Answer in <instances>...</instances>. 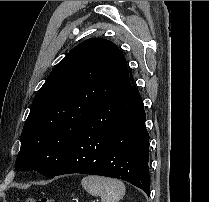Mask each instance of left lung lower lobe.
<instances>
[{
  "instance_id": "obj_1",
  "label": "left lung lower lobe",
  "mask_w": 209,
  "mask_h": 202,
  "mask_svg": "<svg viewBox=\"0 0 209 202\" xmlns=\"http://www.w3.org/2000/svg\"><path fill=\"white\" fill-rule=\"evenodd\" d=\"M139 91L130 86L84 122L58 171L119 178L150 195L149 134Z\"/></svg>"
}]
</instances>
